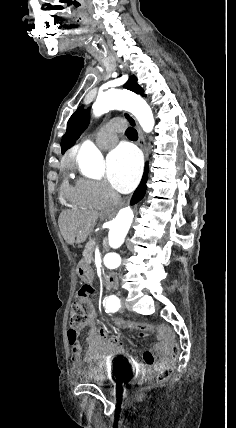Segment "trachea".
I'll list each match as a JSON object with an SVG mask.
<instances>
[{"label": "trachea", "mask_w": 236, "mask_h": 428, "mask_svg": "<svg viewBox=\"0 0 236 428\" xmlns=\"http://www.w3.org/2000/svg\"><path fill=\"white\" fill-rule=\"evenodd\" d=\"M125 135L132 140H137L138 138L137 131L134 128H128L125 132Z\"/></svg>", "instance_id": "obj_1"}]
</instances>
